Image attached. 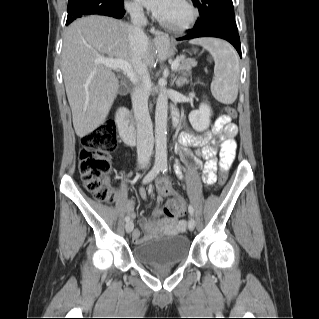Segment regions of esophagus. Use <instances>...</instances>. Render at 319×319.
<instances>
[{
	"mask_svg": "<svg viewBox=\"0 0 319 319\" xmlns=\"http://www.w3.org/2000/svg\"><path fill=\"white\" fill-rule=\"evenodd\" d=\"M151 32H152V35L154 36L155 39H160V38L164 37V34L157 29H152Z\"/></svg>",
	"mask_w": 319,
	"mask_h": 319,
	"instance_id": "34e87169",
	"label": "esophagus"
}]
</instances>
